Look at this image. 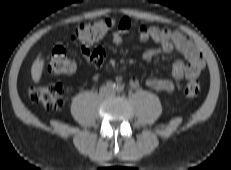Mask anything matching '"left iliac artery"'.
<instances>
[{"label": "left iliac artery", "mask_w": 231, "mask_h": 170, "mask_svg": "<svg viewBox=\"0 0 231 170\" xmlns=\"http://www.w3.org/2000/svg\"><path fill=\"white\" fill-rule=\"evenodd\" d=\"M116 90H117L118 92H123V91H124V86L121 85V84H119V85H117Z\"/></svg>", "instance_id": "44dca946"}]
</instances>
